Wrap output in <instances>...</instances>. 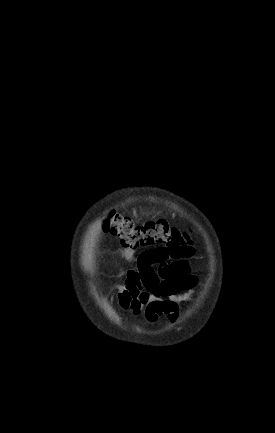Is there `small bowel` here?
Segmentation results:
<instances>
[{"instance_id": "obj_1", "label": "small bowel", "mask_w": 275, "mask_h": 433, "mask_svg": "<svg viewBox=\"0 0 275 433\" xmlns=\"http://www.w3.org/2000/svg\"><path fill=\"white\" fill-rule=\"evenodd\" d=\"M115 253L135 262L134 268L119 270L117 277L123 281L113 286L120 307L135 315L143 314L151 322L161 316L174 322L180 303L189 298L199 282L189 261L166 260L164 248L148 249L139 254L121 248Z\"/></svg>"}]
</instances>
